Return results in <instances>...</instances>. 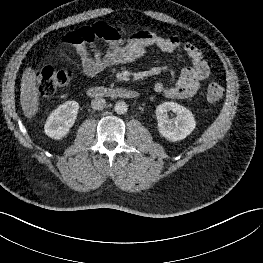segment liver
I'll use <instances>...</instances> for the list:
<instances>
[{"label": "liver", "mask_w": 263, "mask_h": 263, "mask_svg": "<svg viewBox=\"0 0 263 263\" xmlns=\"http://www.w3.org/2000/svg\"><path fill=\"white\" fill-rule=\"evenodd\" d=\"M20 102L25 117L32 118L38 112L39 92L37 88V75L28 67L25 69L21 79Z\"/></svg>", "instance_id": "1"}]
</instances>
